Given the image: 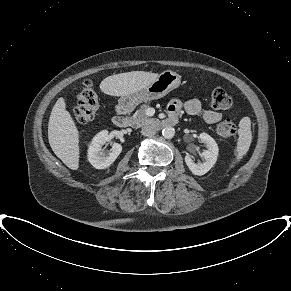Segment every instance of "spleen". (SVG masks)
Returning <instances> with one entry per match:
<instances>
[{"label":"spleen","mask_w":291,"mask_h":291,"mask_svg":"<svg viewBox=\"0 0 291 291\" xmlns=\"http://www.w3.org/2000/svg\"><path fill=\"white\" fill-rule=\"evenodd\" d=\"M239 139L237 142V148L235 152V159L230 165L231 168L235 166L237 162H239L243 156L249 150L252 134H251V123L248 117H244L239 123Z\"/></svg>","instance_id":"spleen-1"}]
</instances>
